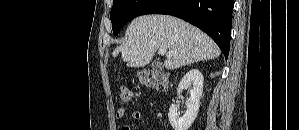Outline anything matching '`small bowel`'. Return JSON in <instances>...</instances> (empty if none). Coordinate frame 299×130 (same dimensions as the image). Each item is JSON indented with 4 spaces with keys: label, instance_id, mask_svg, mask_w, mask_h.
<instances>
[{
    "label": "small bowel",
    "instance_id": "c3829d8e",
    "mask_svg": "<svg viewBox=\"0 0 299 130\" xmlns=\"http://www.w3.org/2000/svg\"><path fill=\"white\" fill-rule=\"evenodd\" d=\"M128 111H131V116L138 121H142L143 120V116L141 114V112L138 109H132L130 110V108L128 107H122L120 109H118V111L116 112V117L118 119L122 118ZM120 130H132V128L129 125H123L121 126Z\"/></svg>",
    "mask_w": 299,
    "mask_h": 130
}]
</instances>
